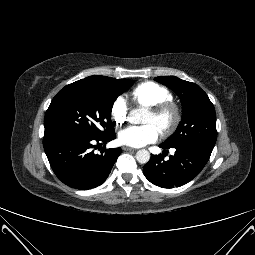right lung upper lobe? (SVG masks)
<instances>
[{
  "label": "right lung upper lobe",
  "mask_w": 255,
  "mask_h": 255,
  "mask_svg": "<svg viewBox=\"0 0 255 255\" xmlns=\"http://www.w3.org/2000/svg\"><path fill=\"white\" fill-rule=\"evenodd\" d=\"M112 78L110 77H106V76H89V77H86L84 79H81L79 81H76L72 84H69L67 86H65L59 93L71 88V87H74V86H78V85H89V84H97V85H100V84H104L108 81H110Z\"/></svg>",
  "instance_id": "right-lung-upper-lobe-1"
}]
</instances>
